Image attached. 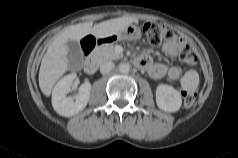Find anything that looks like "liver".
<instances>
[{
	"instance_id": "1",
	"label": "liver",
	"mask_w": 238,
	"mask_h": 158,
	"mask_svg": "<svg viewBox=\"0 0 238 158\" xmlns=\"http://www.w3.org/2000/svg\"><path fill=\"white\" fill-rule=\"evenodd\" d=\"M136 21L134 17H121L95 24L85 22L70 26L58 34L49 45L41 61L39 70V87L45 96H50L53 86L69 69L67 59L68 40L79 41L92 34L96 38H106L114 35Z\"/></svg>"
}]
</instances>
